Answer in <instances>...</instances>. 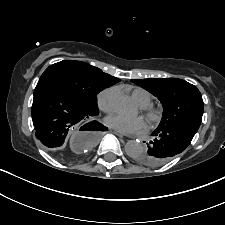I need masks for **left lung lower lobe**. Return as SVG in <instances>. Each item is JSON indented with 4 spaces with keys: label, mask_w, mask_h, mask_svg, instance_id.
I'll use <instances>...</instances> for the list:
<instances>
[{
    "label": "left lung lower lobe",
    "mask_w": 225,
    "mask_h": 225,
    "mask_svg": "<svg viewBox=\"0 0 225 225\" xmlns=\"http://www.w3.org/2000/svg\"><path fill=\"white\" fill-rule=\"evenodd\" d=\"M201 121L187 120L164 129H156L144 157L136 158L147 166H160L171 160L175 155L184 151L191 143Z\"/></svg>",
    "instance_id": "obj_1"
}]
</instances>
